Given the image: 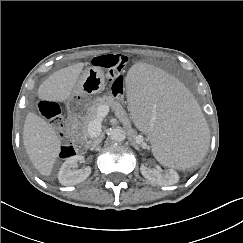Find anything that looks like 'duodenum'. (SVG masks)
<instances>
[{
	"mask_svg": "<svg viewBox=\"0 0 243 243\" xmlns=\"http://www.w3.org/2000/svg\"><path fill=\"white\" fill-rule=\"evenodd\" d=\"M68 133L72 137H75L77 140V147L80 151H84L87 148V141L85 139L79 138V131L77 127V121L75 118H72L71 123L67 125Z\"/></svg>",
	"mask_w": 243,
	"mask_h": 243,
	"instance_id": "obj_1",
	"label": "duodenum"
}]
</instances>
